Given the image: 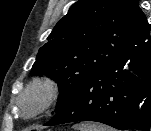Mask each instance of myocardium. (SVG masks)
<instances>
[{
  "label": "myocardium",
  "mask_w": 151,
  "mask_h": 131,
  "mask_svg": "<svg viewBox=\"0 0 151 131\" xmlns=\"http://www.w3.org/2000/svg\"><path fill=\"white\" fill-rule=\"evenodd\" d=\"M60 94V85L54 78L39 77L31 81L19 94L16 104L24 117H34L53 106ZM28 101L32 102L29 109L25 106Z\"/></svg>",
  "instance_id": "myocardium-1"
}]
</instances>
